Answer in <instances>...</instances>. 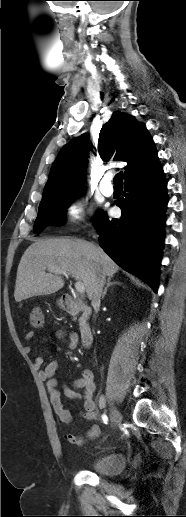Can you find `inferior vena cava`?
Returning <instances> with one entry per match:
<instances>
[{
    "label": "inferior vena cava",
    "mask_w": 186,
    "mask_h": 517,
    "mask_svg": "<svg viewBox=\"0 0 186 517\" xmlns=\"http://www.w3.org/2000/svg\"><path fill=\"white\" fill-rule=\"evenodd\" d=\"M104 284H105V275L99 273L95 280V283L93 285V298H92L93 306L100 304V298H101Z\"/></svg>",
    "instance_id": "inferior-vena-cava-1"
}]
</instances>
